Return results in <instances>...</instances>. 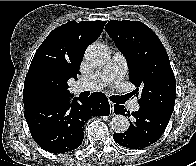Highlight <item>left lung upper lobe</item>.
I'll return each mask as SVG.
<instances>
[{
  "mask_svg": "<svg viewBox=\"0 0 196 166\" xmlns=\"http://www.w3.org/2000/svg\"><path fill=\"white\" fill-rule=\"evenodd\" d=\"M105 30L124 54L129 80L140 106L172 114L176 98V80L168 54L158 36L140 21L111 20Z\"/></svg>",
  "mask_w": 196,
  "mask_h": 166,
  "instance_id": "1",
  "label": "left lung upper lobe"
}]
</instances>
